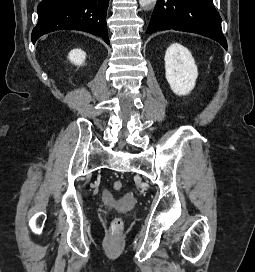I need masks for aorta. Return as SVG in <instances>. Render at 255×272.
I'll use <instances>...</instances> for the list:
<instances>
[{
  "mask_svg": "<svg viewBox=\"0 0 255 272\" xmlns=\"http://www.w3.org/2000/svg\"><path fill=\"white\" fill-rule=\"evenodd\" d=\"M156 2V0H139V4L141 7H147L150 5H153Z\"/></svg>",
  "mask_w": 255,
  "mask_h": 272,
  "instance_id": "762f6f07",
  "label": "aorta"
}]
</instances>
